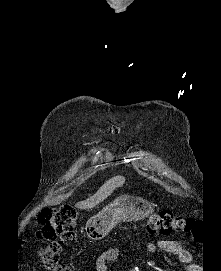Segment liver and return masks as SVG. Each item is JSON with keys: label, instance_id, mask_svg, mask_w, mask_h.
Wrapping results in <instances>:
<instances>
[{"label": "liver", "instance_id": "6515ba94", "mask_svg": "<svg viewBox=\"0 0 221 271\" xmlns=\"http://www.w3.org/2000/svg\"><path fill=\"white\" fill-rule=\"evenodd\" d=\"M112 193V187H111V181L108 179L104 185H101L100 189L94 193V195H91V197H88V199H85V201H79V203H76V207H79V209H88V207H95V205H98V203H101V201H104L108 195Z\"/></svg>", "mask_w": 221, "mask_h": 271}]
</instances>
